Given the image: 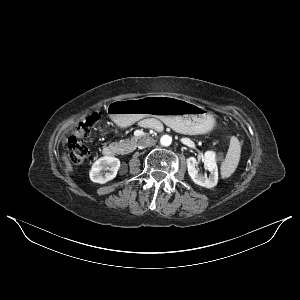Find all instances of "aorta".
Segmentation results:
<instances>
[{
	"label": "aorta",
	"instance_id": "1",
	"mask_svg": "<svg viewBox=\"0 0 300 300\" xmlns=\"http://www.w3.org/2000/svg\"><path fill=\"white\" fill-rule=\"evenodd\" d=\"M160 143H161V145H163V146H170L171 143H172V137L169 136V135H163V136L160 138Z\"/></svg>",
	"mask_w": 300,
	"mask_h": 300
}]
</instances>
